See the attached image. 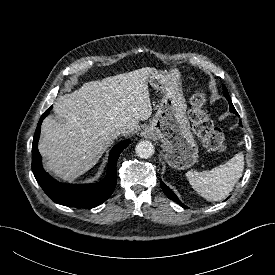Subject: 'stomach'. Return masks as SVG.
Listing matches in <instances>:
<instances>
[{
    "instance_id": "0dacf381",
    "label": "stomach",
    "mask_w": 275,
    "mask_h": 275,
    "mask_svg": "<svg viewBox=\"0 0 275 275\" xmlns=\"http://www.w3.org/2000/svg\"><path fill=\"white\" fill-rule=\"evenodd\" d=\"M153 88L163 94L158 110L143 134L153 135L163 144L168 165L177 170L190 168L198 159V146L186 115L187 105L177 69H154L149 75Z\"/></svg>"
}]
</instances>
